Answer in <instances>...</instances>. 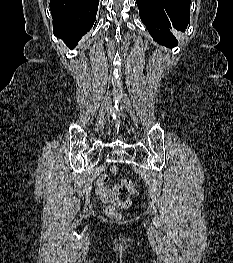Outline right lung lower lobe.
<instances>
[{
    "instance_id": "right-lung-lower-lobe-1",
    "label": "right lung lower lobe",
    "mask_w": 233,
    "mask_h": 263,
    "mask_svg": "<svg viewBox=\"0 0 233 263\" xmlns=\"http://www.w3.org/2000/svg\"><path fill=\"white\" fill-rule=\"evenodd\" d=\"M99 0H50L54 35L73 49L96 20Z\"/></svg>"
}]
</instances>
